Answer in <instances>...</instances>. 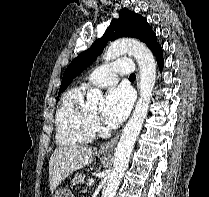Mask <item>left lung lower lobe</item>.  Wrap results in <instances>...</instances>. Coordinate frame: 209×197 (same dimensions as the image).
Listing matches in <instances>:
<instances>
[{
    "instance_id": "1",
    "label": "left lung lower lobe",
    "mask_w": 209,
    "mask_h": 197,
    "mask_svg": "<svg viewBox=\"0 0 209 197\" xmlns=\"http://www.w3.org/2000/svg\"><path fill=\"white\" fill-rule=\"evenodd\" d=\"M152 51L156 55L157 62H158V65H159V69L162 70V67H163V56H162L161 46L157 45Z\"/></svg>"
}]
</instances>
